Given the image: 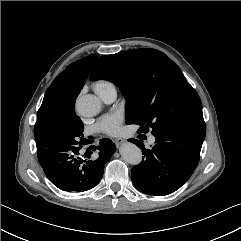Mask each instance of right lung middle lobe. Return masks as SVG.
Masks as SVG:
<instances>
[{
	"label": "right lung middle lobe",
	"mask_w": 241,
	"mask_h": 241,
	"mask_svg": "<svg viewBox=\"0 0 241 241\" xmlns=\"http://www.w3.org/2000/svg\"><path fill=\"white\" fill-rule=\"evenodd\" d=\"M37 122L41 123V134L37 136L43 144L82 147L85 143L84 127L74 109H55L41 106L37 112Z\"/></svg>",
	"instance_id": "right-lung-middle-lobe-1"
}]
</instances>
